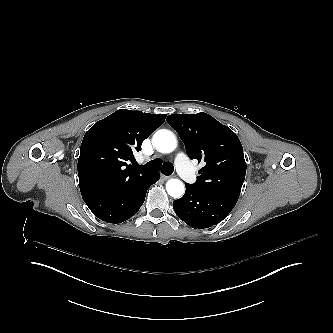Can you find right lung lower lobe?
Masks as SVG:
<instances>
[{
    "instance_id": "right-lung-lower-lobe-1",
    "label": "right lung lower lobe",
    "mask_w": 333,
    "mask_h": 333,
    "mask_svg": "<svg viewBox=\"0 0 333 333\" xmlns=\"http://www.w3.org/2000/svg\"><path fill=\"white\" fill-rule=\"evenodd\" d=\"M159 178L158 172L143 171L116 183L82 185L80 191L84 202L96 217L118 224L137 213L145 200L147 189Z\"/></svg>"
}]
</instances>
